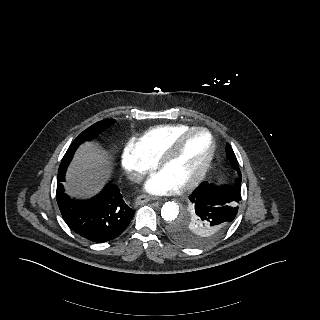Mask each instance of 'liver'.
<instances>
[{
  "label": "liver",
  "mask_w": 320,
  "mask_h": 320,
  "mask_svg": "<svg viewBox=\"0 0 320 320\" xmlns=\"http://www.w3.org/2000/svg\"><path fill=\"white\" fill-rule=\"evenodd\" d=\"M107 154L97 146L86 143L76 152L63 183L71 197H84L98 191L110 176Z\"/></svg>",
  "instance_id": "obj_1"
}]
</instances>
